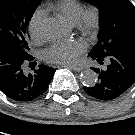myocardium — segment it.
<instances>
[{"label": "myocardium", "mask_w": 135, "mask_h": 135, "mask_svg": "<svg viewBox=\"0 0 135 135\" xmlns=\"http://www.w3.org/2000/svg\"><path fill=\"white\" fill-rule=\"evenodd\" d=\"M101 23V13L98 7L88 6L83 8L76 25L85 36L91 37L96 34Z\"/></svg>", "instance_id": "1"}]
</instances>
